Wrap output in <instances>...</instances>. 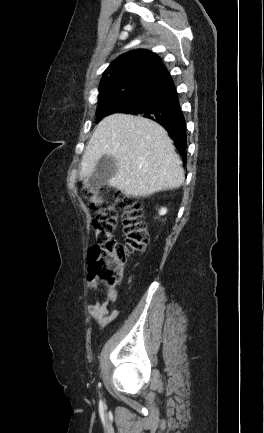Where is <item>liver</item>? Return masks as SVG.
<instances>
[{"label":"liver","mask_w":264,"mask_h":433,"mask_svg":"<svg viewBox=\"0 0 264 433\" xmlns=\"http://www.w3.org/2000/svg\"><path fill=\"white\" fill-rule=\"evenodd\" d=\"M112 156L117 172L108 184L134 197L175 189L184 182V170L166 130L139 116L115 113L104 118L89 140L80 179H87L99 159Z\"/></svg>","instance_id":"6515ba94"}]
</instances>
